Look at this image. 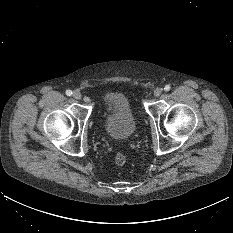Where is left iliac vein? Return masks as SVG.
<instances>
[{"label": "left iliac vein", "mask_w": 233, "mask_h": 233, "mask_svg": "<svg viewBox=\"0 0 233 233\" xmlns=\"http://www.w3.org/2000/svg\"><path fill=\"white\" fill-rule=\"evenodd\" d=\"M162 88H156L154 90V96L159 97L162 94Z\"/></svg>", "instance_id": "obj_1"}]
</instances>
